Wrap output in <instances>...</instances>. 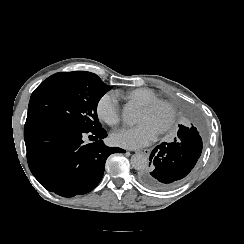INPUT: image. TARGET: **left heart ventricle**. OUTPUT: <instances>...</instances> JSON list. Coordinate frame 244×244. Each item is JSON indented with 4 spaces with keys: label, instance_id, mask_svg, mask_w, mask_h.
<instances>
[{
    "label": "left heart ventricle",
    "instance_id": "left-heart-ventricle-1",
    "mask_svg": "<svg viewBox=\"0 0 244 244\" xmlns=\"http://www.w3.org/2000/svg\"><path fill=\"white\" fill-rule=\"evenodd\" d=\"M136 121L139 124H148L154 128L157 133H162L168 126L170 118L162 107L146 111L139 106L137 109Z\"/></svg>",
    "mask_w": 244,
    "mask_h": 244
}]
</instances>
